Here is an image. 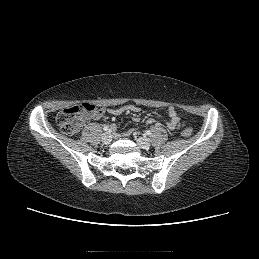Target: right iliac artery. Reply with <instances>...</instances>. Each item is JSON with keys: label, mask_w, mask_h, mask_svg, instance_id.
Returning <instances> with one entry per match:
<instances>
[{"label": "right iliac artery", "mask_w": 259, "mask_h": 259, "mask_svg": "<svg viewBox=\"0 0 259 259\" xmlns=\"http://www.w3.org/2000/svg\"><path fill=\"white\" fill-rule=\"evenodd\" d=\"M103 130H104V131H108V130H109V126H108V125H105V126L103 127Z\"/></svg>", "instance_id": "obj_1"}]
</instances>
